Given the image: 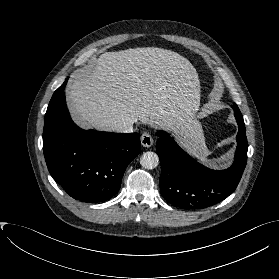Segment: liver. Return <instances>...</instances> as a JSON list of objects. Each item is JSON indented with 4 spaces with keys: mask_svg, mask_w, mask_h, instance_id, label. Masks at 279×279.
Segmentation results:
<instances>
[{
    "mask_svg": "<svg viewBox=\"0 0 279 279\" xmlns=\"http://www.w3.org/2000/svg\"><path fill=\"white\" fill-rule=\"evenodd\" d=\"M66 100L82 127L119 132L139 120L173 131L193 154L206 152L201 127L193 118L200 104L198 74L174 51L143 47L105 52L74 75Z\"/></svg>",
    "mask_w": 279,
    "mask_h": 279,
    "instance_id": "6515ba94",
    "label": "liver"
}]
</instances>
